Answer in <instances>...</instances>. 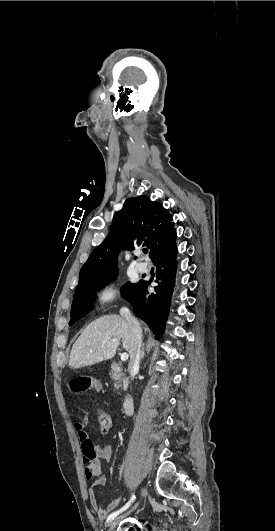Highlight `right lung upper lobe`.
I'll list each match as a JSON object with an SVG mask.
<instances>
[{
    "label": "right lung upper lobe",
    "instance_id": "1",
    "mask_svg": "<svg viewBox=\"0 0 275 531\" xmlns=\"http://www.w3.org/2000/svg\"><path fill=\"white\" fill-rule=\"evenodd\" d=\"M173 230L172 216L160 203L147 196L128 198L115 213L106 239L83 265L77 289L90 279L117 270L120 249L133 250L145 241L151 256Z\"/></svg>",
    "mask_w": 275,
    "mask_h": 531
}]
</instances>
